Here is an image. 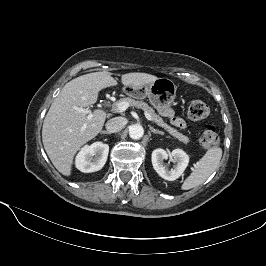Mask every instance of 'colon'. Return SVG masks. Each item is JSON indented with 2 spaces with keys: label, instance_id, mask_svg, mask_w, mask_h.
<instances>
[{
  "label": "colon",
  "instance_id": "obj_1",
  "mask_svg": "<svg viewBox=\"0 0 266 266\" xmlns=\"http://www.w3.org/2000/svg\"><path fill=\"white\" fill-rule=\"evenodd\" d=\"M210 110L207 104L201 100H193L188 105L187 114L191 120L201 121L209 116ZM220 143V136L217 129L213 126L207 127L201 137L200 145L203 149L217 147Z\"/></svg>",
  "mask_w": 266,
  "mask_h": 266
}]
</instances>
